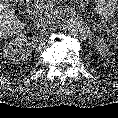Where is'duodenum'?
Returning a JSON list of instances; mask_svg holds the SVG:
<instances>
[{
  "label": "duodenum",
  "mask_w": 118,
  "mask_h": 118,
  "mask_svg": "<svg viewBox=\"0 0 118 118\" xmlns=\"http://www.w3.org/2000/svg\"><path fill=\"white\" fill-rule=\"evenodd\" d=\"M28 2H34L35 0H27Z\"/></svg>",
  "instance_id": "duodenum-1"
}]
</instances>
